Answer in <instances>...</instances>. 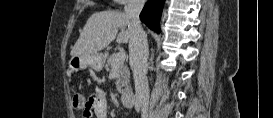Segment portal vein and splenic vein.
Instances as JSON below:
<instances>
[{"mask_svg": "<svg viewBox=\"0 0 273 118\" xmlns=\"http://www.w3.org/2000/svg\"><path fill=\"white\" fill-rule=\"evenodd\" d=\"M117 56H118L120 59H125V57H126L125 52H118V53H117Z\"/></svg>", "mask_w": 273, "mask_h": 118, "instance_id": "obj_1", "label": "portal vein and splenic vein"}]
</instances>
